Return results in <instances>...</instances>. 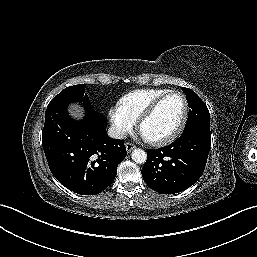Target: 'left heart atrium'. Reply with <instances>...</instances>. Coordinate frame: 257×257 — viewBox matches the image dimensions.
Returning a JSON list of instances; mask_svg holds the SVG:
<instances>
[{
  "mask_svg": "<svg viewBox=\"0 0 257 257\" xmlns=\"http://www.w3.org/2000/svg\"><path fill=\"white\" fill-rule=\"evenodd\" d=\"M142 135V134H141ZM142 137L146 140V138L142 135Z\"/></svg>",
  "mask_w": 257,
  "mask_h": 257,
  "instance_id": "obj_1",
  "label": "left heart atrium"
}]
</instances>
